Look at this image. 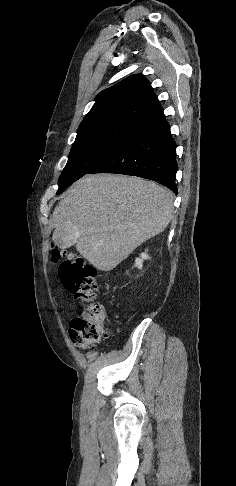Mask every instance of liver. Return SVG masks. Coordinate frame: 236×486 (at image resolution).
Returning a JSON list of instances; mask_svg holds the SVG:
<instances>
[{"instance_id": "liver-1", "label": "liver", "mask_w": 236, "mask_h": 486, "mask_svg": "<svg viewBox=\"0 0 236 486\" xmlns=\"http://www.w3.org/2000/svg\"><path fill=\"white\" fill-rule=\"evenodd\" d=\"M171 191L138 177L86 175L67 190L51 225L68 236L94 267L110 271L138 246L162 233L172 218ZM54 237V235H53Z\"/></svg>"}]
</instances>
